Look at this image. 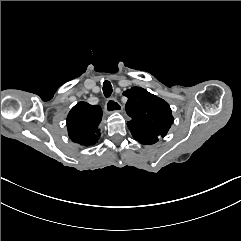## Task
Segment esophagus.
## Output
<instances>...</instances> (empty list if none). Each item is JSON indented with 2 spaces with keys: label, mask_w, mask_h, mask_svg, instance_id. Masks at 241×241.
Wrapping results in <instances>:
<instances>
[{
  "label": "esophagus",
  "mask_w": 241,
  "mask_h": 241,
  "mask_svg": "<svg viewBox=\"0 0 241 241\" xmlns=\"http://www.w3.org/2000/svg\"><path fill=\"white\" fill-rule=\"evenodd\" d=\"M122 111H123L122 105L115 98H110L106 101L105 113L112 114L114 112H122Z\"/></svg>",
  "instance_id": "1"
}]
</instances>
